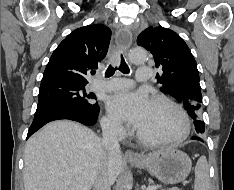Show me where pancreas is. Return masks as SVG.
Returning <instances> with one entry per match:
<instances>
[{"label":"pancreas","mask_w":234,"mask_h":190,"mask_svg":"<svg viewBox=\"0 0 234 190\" xmlns=\"http://www.w3.org/2000/svg\"><path fill=\"white\" fill-rule=\"evenodd\" d=\"M168 190H180V189H179V188L174 187V188H170V189H168Z\"/></svg>","instance_id":"1"}]
</instances>
